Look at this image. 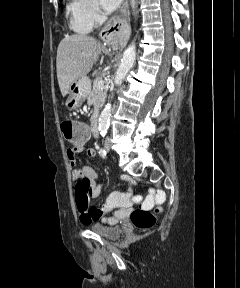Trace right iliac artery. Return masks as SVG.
I'll use <instances>...</instances> for the list:
<instances>
[{"label": "right iliac artery", "mask_w": 240, "mask_h": 288, "mask_svg": "<svg viewBox=\"0 0 240 288\" xmlns=\"http://www.w3.org/2000/svg\"><path fill=\"white\" fill-rule=\"evenodd\" d=\"M99 154L102 158H106L107 153H106L105 149L101 148L99 151Z\"/></svg>", "instance_id": "1"}]
</instances>
